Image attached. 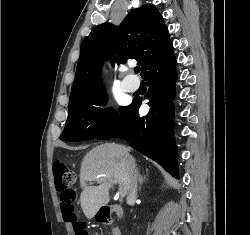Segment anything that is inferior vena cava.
Returning a JSON list of instances; mask_svg holds the SVG:
<instances>
[{"mask_svg": "<svg viewBox=\"0 0 250 235\" xmlns=\"http://www.w3.org/2000/svg\"><path fill=\"white\" fill-rule=\"evenodd\" d=\"M129 162L132 163V158L130 155L125 156ZM137 181H138V176L136 173L135 165L132 164L130 167V180H129V191H128V197L127 201L131 202L134 201L137 195Z\"/></svg>", "mask_w": 250, "mask_h": 235, "instance_id": "inferior-vena-cava-1", "label": "inferior vena cava"}]
</instances>
